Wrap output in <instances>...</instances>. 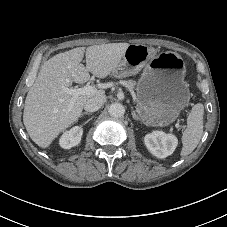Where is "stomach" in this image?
Returning a JSON list of instances; mask_svg holds the SVG:
<instances>
[{
    "mask_svg": "<svg viewBox=\"0 0 227 227\" xmlns=\"http://www.w3.org/2000/svg\"><path fill=\"white\" fill-rule=\"evenodd\" d=\"M142 69L136 86L139 118L149 126H168L190 100L185 63L175 52L156 54L152 47L131 44L112 75L132 76Z\"/></svg>",
    "mask_w": 227,
    "mask_h": 227,
    "instance_id": "0dacf381",
    "label": "stomach"
}]
</instances>
